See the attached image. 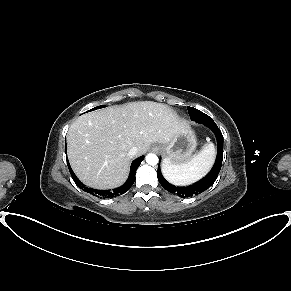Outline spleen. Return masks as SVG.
<instances>
[{
    "label": "spleen",
    "instance_id": "spleen-1",
    "mask_svg": "<svg viewBox=\"0 0 291 291\" xmlns=\"http://www.w3.org/2000/svg\"><path fill=\"white\" fill-rule=\"evenodd\" d=\"M215 148L206 144L203 149L186 163L174 164L164 160L161 170L165 179L175 186L192 184L202 178L212 167Z\"/></svg>",
    "mask_w": 291,
    "mask_h": 291
}]
</instances>
